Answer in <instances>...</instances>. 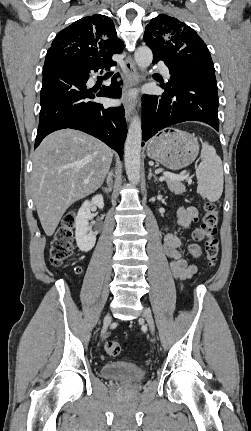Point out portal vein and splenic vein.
<instances>
[{
	"mask_svg": "<svg viewBox=\"0 0 251 431\" xmlns=\"http://www.w3.org/2000/svg\"><path fill=\"white\" fill-rule=\"evenodd\" d=\"M163 175L166 178H170V179H173V180H179V181H183V180L187 179L188 176H189L188 174L177 175V174H173V173H169V172H165ZM84 183L87 184L88 181H84Z\"/></svg>",
	"mask_w": 251,
	"mask_h": 431,
	"instance_id": "obj_1",
	"label": "portal vein and splenic vein"
}]
</instances>
